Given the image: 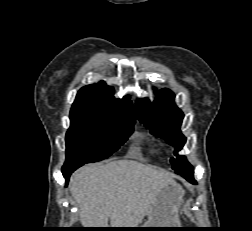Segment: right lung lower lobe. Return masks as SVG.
I'll use <instances>...</instances> for the list:
<instances>
[{"instance_id": "98d812e1", "label": "right lung lower lobe", "mask_w": 252, "mask_h": 231, "mask_svg": "<svg viewBox=\"0 0 252 231\" xmlns=\"http://www.w3.org/2000/svg\"><path fill=\"white\" fill-rule=\"evenodd\" d=\"M76 169H77V168L74 167V168H69V169H64V170H62V173H63V176H64V178H65L66 184L68 183V180H69L70 175H71L72 172H73L74 170H76Z\"/></svg>"}]
</instances>
